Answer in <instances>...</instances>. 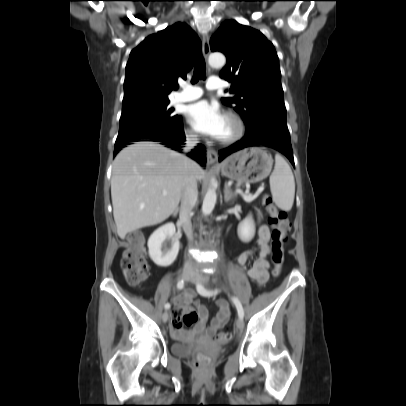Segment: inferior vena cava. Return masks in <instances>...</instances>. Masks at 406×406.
<instances>
[{"label":"inferior vena cava","mask_w":406,"mask_h":406,"mask_svg":"<svg viewBox=\"0 0 406 406\" xmlns=\"http://www.w3.org/2000/svg\"><path fill=\"white\" fill-rule=\"evenodd\" d=\"M184 151L188 152L198 143V137L195 134H187ZM186 158V157H185ZM198 197L197 181L193 171L192 161L186 158L184 170V189L181 196L180 222L189 241L193 240L191 226V212L196 204ZM186 268H192V262L189 260L185 263Z\"/></svg>","instance_id":"602c4592"}]
</instances>
